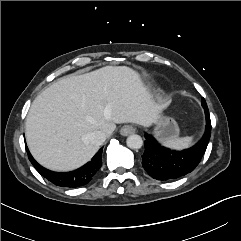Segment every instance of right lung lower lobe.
Instances as JSON below:
<instances>
[{
	"mask_svg": "<svg viewBox=\"0 0 241 241\" xmlns=\"http://www.w3.org/2000/svg\"><path fill=\"white\" fill-rule=\"evenodd\" d=\"M26 150L29 160L36 170L49 181L57 182L58 186L61 187L75 188L86 185L102 165V149H100L90 162L75 171L68 173L53 172L39 165L30 154L27 146Z\"/></svg>",
	"mask_w": 241,
	"mask_h": 241,
	"instance_id": "1",
	"label": "right lung lower lobe"
}]
</instances>
